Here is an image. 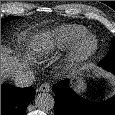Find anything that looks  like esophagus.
I'll return each mask as SVG.
<instances>
[{"mask_svg":"<svg viewBox=\"0 0 115 115\" xmlns=\"http://www.w3.org/2000/svg\"><path fill=\"white\" fill-rule=\"evenodd\" d=\"M40 92H50L51 90V87L49 85V83H43L39 89H38Z\"/></svg>","mask_w":115,"mask_h":115,"instance_id":"obj_1","label":"esophagus"}]
</instances>
